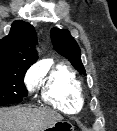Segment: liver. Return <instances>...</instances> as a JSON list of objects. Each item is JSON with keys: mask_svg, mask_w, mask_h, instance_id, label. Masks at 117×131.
I'll list each match as a JSON object with an SVG mask.
<instances>
[{"mask_svg": "<svg viewBox=\"0 0 117 131\" xmlns=\"http://www.w3.org/2000/svg\"><path fill=\"white\" fill-rule=\"evenodd\" d=\"M62 116L47 108L0 109V131H43Z\"/></svg>", "mask_w": 117, "mask_h": 131, "instance_id": "obj_1", "label": "liver"}]
</instances>
